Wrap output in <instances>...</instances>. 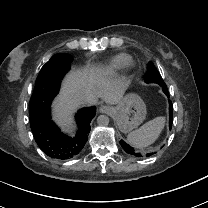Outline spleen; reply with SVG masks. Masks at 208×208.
Here are the masks:
<instances>
[{
	"label": "spleen",
	"mask_w": 208,
	"mask_h": 208,
	"mask_svg": "<svg viewBox=\"0 0 208 208\" xmlns=\"http://www.w3.org/2000/svg\"><path fill=\"white\" fill-rule=\"evenodd\" d=\"M165 117H156L142 125L139 129L132 131L127 136L130 145L136 148H144L156 141L165 126Z\"/></svg>",
	"instance_id": "obj_1"
}]
</instances>
